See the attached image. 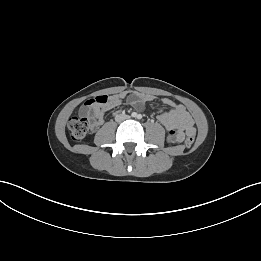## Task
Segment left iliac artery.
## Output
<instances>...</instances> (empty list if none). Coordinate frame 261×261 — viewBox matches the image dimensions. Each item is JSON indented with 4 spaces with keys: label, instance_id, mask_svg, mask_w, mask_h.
<instances>
[{
    "label": "left iliac artery",
    "instance_id": "1",
    "mask_svg": "<svg viewBox=\"0 0 261 261\" xmlns=\"http://www.w3.org/2000/svg\"><path fill=\"white\" fill-rule=\"evenodd\" d=\"M137 118H138V119H141V118H142V115H141V114L137 115Z\"/></svg>",
    "mask_w": 261,
    "mask_h": 261
}]
</instances>
